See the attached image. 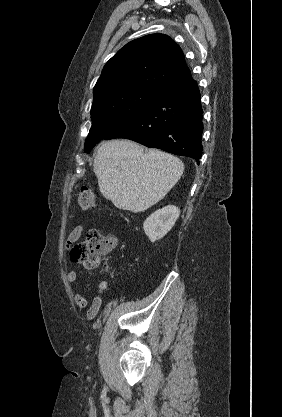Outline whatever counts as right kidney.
<instances>
[{"instance_id":"1","label":"right kidney","mask_w":282,"mask_h":417,"mask_svg":"<svg viewBox=\"0 0 282 417\" xmlns=\"http://www.w3.org/2000/svg\"><path fill=\"white\" fill-rule=\"evenodd\" d=\"M179 215L180 209H178V206L167 204V206H163V209H158L150 217H147L143 223V229L145 235L149 237V241L154 243V241L165 237L174 227Z\"/></svg>"}]
</instances>
